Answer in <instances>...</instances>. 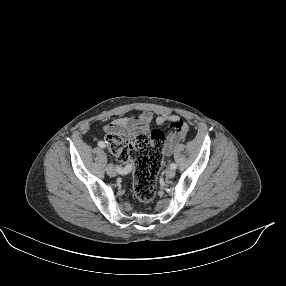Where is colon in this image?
Wrapping results in <instances>:
<instances>
[{"instance_id": "obj_1", "label": "colon", "mask_w": 286, "mask_h": 286, "mask_svg": "<svg viewBox=\"0 0 286 286\" xmlns=\"http://www.w3.org/2000/svg\"><path fill=\"white\" fill-rule=\"evenodd\" d=\"M183 129L185 124H178ZM108 150L121 162H132L135 165L133 193L135 198L148 204L153 201L156 193V177L165 146L163 131L154 129L150 135L140 134L134 140L118 134L106 137Z\"/></svg>"}]
</instances>
